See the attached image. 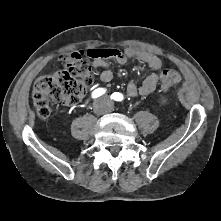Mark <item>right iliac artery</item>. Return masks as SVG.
Masks as SVG:
<instances>
[{
	"instance_id": "right-iliac-artery-1",
	"label": "right iliac artery",
	"mask_w": 221,
	"mask_h": 221,
	"mask_svg": "<svg viewBox=\"0 0 221 221\" xmlns=\"http://www.w3.org/2000/svg\"><path fill=\"white\" fill-rule=\"evenodd\" d=\"M105 92H106V89H104V88L95 89V90L92 92V98H98V97H100L101 95H103Z\"/></svg>"
}]
</instances>
